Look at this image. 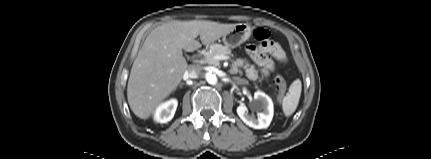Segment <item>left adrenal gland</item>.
I'll list each match as a JSON object with an SVG mask.
<instances>
[{
	"label": "left adrenal gland",
	"instance_id": "1",
	"mask_svg": "<svg viewBox=\"0 0 431 159\" xmlns=\"http://www.w3.org/2000/svg\"><path fill=\"white\" fill-rule=\"evenodd\" d=\"M233 80L236 81L238 84H246V82L243 79H240L238 77H233Z\"/></svg>",
	"mask_w": 431,
	"mask_h": 159
}]
</instances>
